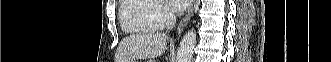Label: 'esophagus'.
Here are the masks:
<instances>
[{
  "instance_id": "esophagus-1",
  "label": "esophagus",
  "mask_w": 331,
  "mask_h": 62,
  "mask_svg": "<svg viewBox=\"0 0 331 62\" xmlns=\"http://www.w3.org/2000/svg\"><path fill=\"white\" fill-rule=\"evenodd\" d=\"M195 3H196V0H193L188 12L186 13L184 18L179 23L178 28H177V34L181 33L183 31V29L186 27V25L188 24V22L190 21L192 15H193L194 8H195Z\"/></svg>"
}]
</instances>
